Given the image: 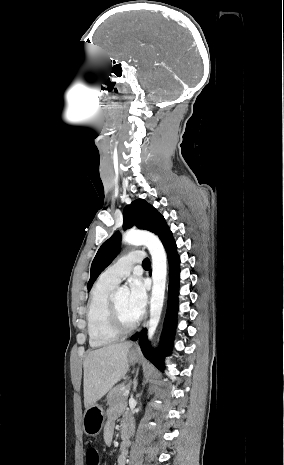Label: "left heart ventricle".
Wrapping results in <instances>:
<instances>
[{"label":"left heart ventricle","instance_id":"left-heart-ventricle-1","mask_svg":"<svg viewBox=\"0 0 284 465\" xmlns=\"http://www.w3.org/2000/svg\"><path fill=\"white\" fill-rule=\"evenodd\" d=\"M115 302L117 304V307L119 309L120 315L123 319L121 321L122 325L124 327H129L133 325L136 320L139 318L137 315H135L131 309L129 308L128 305V296L127 295H120L115 298Z\"/></svg>","mask_w":284,"mask_h":465}]
</instances>
